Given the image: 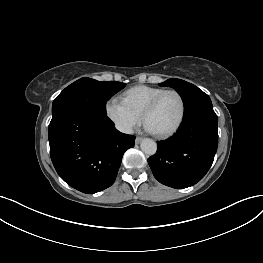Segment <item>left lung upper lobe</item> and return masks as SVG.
I'll return each instance as SVG.
<instances>
[{"label": "left lung upper lobe", "instance_id": "obj_1", "mask_svg": "<svg viewBox=\"0 0 263 263\" xmlns=\"http://www.w3.org/2000/svg\"><path fill=\"white\" fill-rule=\"evenodd\" d=\"M160 86L174 88L184 102V118L203 109L213 108L209 96L195 85L180 79H168Z\"/></svg>", "mask_w": 263, "mask_h": 263}]
</instances>
